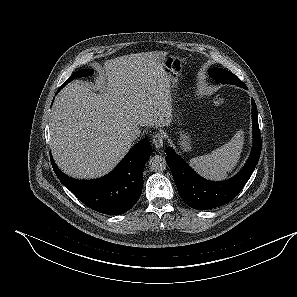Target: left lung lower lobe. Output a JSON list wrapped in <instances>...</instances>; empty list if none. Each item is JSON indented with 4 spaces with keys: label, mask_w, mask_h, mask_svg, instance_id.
<instances>
[{
    "label": "left lung lower lobe",
    "mask_w": 297,
    "mask_h": 297,
    "mask_svg": "<svg viewBox=\"0 0 297 297\" xmlns=\"http://www.w3.org/2000/svg\"><path fill=\"white\" fill-rule=\"evenodd\" d=\"M252 128L253 147L248 161L238 174L221 182L205 180L196 174L170 147L166 149L165 160L172 172L179 195L190 207L194 209L219 207L233 200L242 190L258 163L262 147L254 99H252Z\"/></svg>",
    "instance_id": "left-lung-lower-lobe-1"
}]
</instances>
